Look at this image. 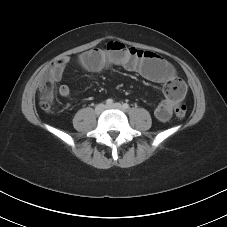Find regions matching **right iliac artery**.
Returning a JSON list of instances; mask_svg holds the SVG:
<instances>
[{
    "instance_id": "82829eb1",
    "label": "right iliac artery",
    "mask_w": 227,
    "mask_h": 227,
    "mask_svg": "<svg viewBox=\"0 0 227 227\" xmlns=\"http://www.w3.org/2000/svg\"><path fill=\"white\" fill-rule=\"evenodd\" d=\"M113 104V100L112 99H107L106 100V105H112Z\"/></svg>"
}]
</instances>
